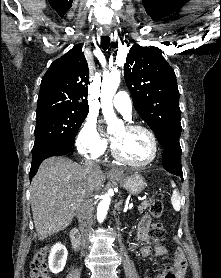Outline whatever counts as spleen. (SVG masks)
<instances>
[{"mask_svg":"<svg viewBox=\"0 0 221 278\" xmlns=\"http://www.w3.org/2000/svg\"><path fill=\"white\" fill-rule=\"evenodd\" d=\"M172 187L175 188V184L173 182H172ZM180 200L181 197L179 192L177 191V189H174L171 197V204L175 211H179L181 208Z\"/></svg>","mask_w":221,"mask_h":278,"instance_id":"1","label":"spleen"}]
</instances>
